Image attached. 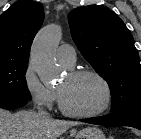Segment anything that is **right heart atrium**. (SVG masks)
Segmentation results:
<instances>
[{"label":"right heart atrium","instance_id":"obj_1","mask_svg":"<svg viewBox=\"0 0 141 139\" xmlns=\"http://www.w3.org/2000/svg\"><path fill=\"white\" fill-rule=\"evenodd\" d=\"M23 84L30 99L37 107L44 109L53 107L57 100V93L41 82L31 62H28L24 69Z\"/></svg>","mask_w":141,"mask_h":139}]
</instances>
